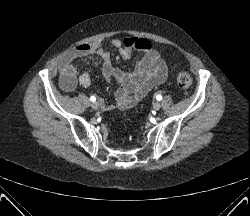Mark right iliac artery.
I'll return each instance as SVG.
<instances>
[{"label": "right iliac artery", "mask_w": 250, "mask_h": 216, "mask_svg": "<svg viewBox=\"0 0 250 216\" xmlns=\"http://www.w3.org/2000/svg\"><path fill=\"white\" fill-rule=\"evenodd\" d=\"M90 100H91L92 102H95V101H96V98H95L94 96H91V97H90Z\"/></svg>", "instance_id": "right-iliac-artery-1"}]
</instances>
